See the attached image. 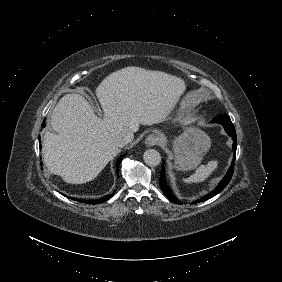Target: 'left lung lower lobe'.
I'll list each match as a JSON object with an SVG mask.
<instances>
[{
  "mask_svg": "<svg viewBox=\"0 0 282 282\" xmlns=\"http://www.w3.org/2000/svg\"><path fill=\"white\" fill-rule=\"evenodd\" d=\"M212 122L221 124L225 128L228 135H230L232 137V139L234 141V143H233V157L234 158H233V161H232L231 168L228 170L227 174L222 179V181L218 184V186L215 188V190H213L211 193L207 194L202 199H199V200H196L195 202H192V204L205 201V200L215 196L219 192H221L227 186V184L230 182L231 177L233 175V171H234V161H235L236 147H237V142H236L237 136H236V131H235L234 125L232 124L230 117L226 114L221 115V116L213 119ZM160 187H161L162 191L164 192V194L166 195V197L170 201L177 203V204L178 203L183 204L182 202L178 201V199L172 193L171 189L168 187V185L165 181V174H164V166L163 165H162L161 176H160Z\"/></svg>",
  "mask_w": 282,
  "mask_h": 282,
  "instance_id": "1",
  "label": "left lung lower lobe"
}]
</instances>
